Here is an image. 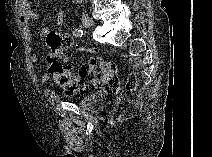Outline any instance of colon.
Instances as JSON below:
<instances>
[{"instance_id": "5ec220e1", "label": "colon", "mask_w": 212, "mask_h": 157, "mask_svg": "<svg viewBox=\"0 0 212 157\" xmlns=\"http://www.w3.org/2000/svg\"><path fill=\"white\" fill-rule=\"evenodd\" d=\"M47 42L51 47V53L47 59V70L54 82L63 90L73 93L76 91L88 92L99 88L109 94H117L120 91L117 68L113 62L97 60L75 73L72 70L71 61L66 55L67 48L72 44L70 35L49 33ZM126 88L128 90L136 88L135 75L129 76Z\"/></svg>"}]
</instances>
